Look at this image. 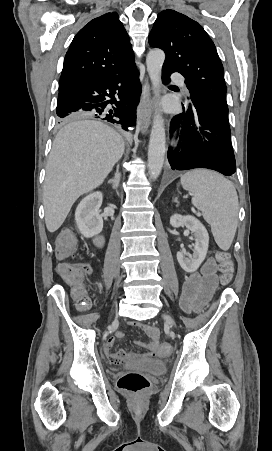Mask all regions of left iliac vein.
Wrapping results in <instances>:
<instances>
[{"mask_svg":"<svg viewBox=\"0 0 272 451\" xmlns=\"http://www.w3.org/2000/svg\"><path fill=\"white\" fill-rule=\"evenodd\" d=\"M164 320L168 323V324H173L174 323V320L171 318V316L170 315H168V314H165L164 315Z\"/></svg>","mask_w":272,"mask_h":451,"instance_id":"4c4485c4","label":"left iliac vein"}]
</instances>
